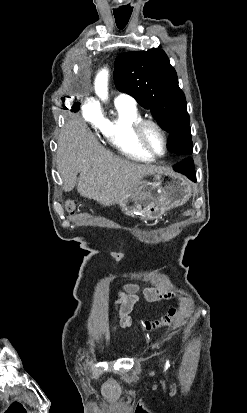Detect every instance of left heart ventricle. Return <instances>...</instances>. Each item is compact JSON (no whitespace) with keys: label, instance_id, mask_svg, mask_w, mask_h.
Segmentation results:
<instances>
[{"label":"left heart ventricle","instance_id":"left-heart-ventricle-1","mask_svg":"<svg viewBox=\"0 0 247 413\" xmlns=\"http://www.w3.org/2000/svg\"><path fill=\"white\" fill-rule=\"evenodd\" d=\"M143 140L145 144L157 154L163 152L164 141L161 134L156 129L146 127L143 131Z\"/></svg>","mask_w":247,"mask_h":413}]
</instances>
